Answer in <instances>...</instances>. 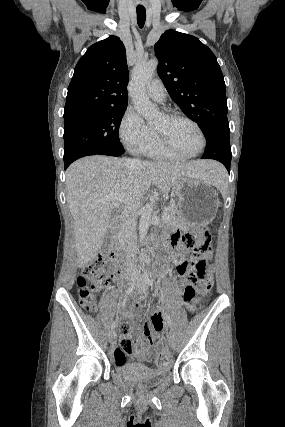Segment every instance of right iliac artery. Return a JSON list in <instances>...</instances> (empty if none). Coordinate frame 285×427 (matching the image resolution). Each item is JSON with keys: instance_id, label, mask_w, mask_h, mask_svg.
<instances>
[{"instance_id": "1", "label": "right iliac artery", "mask_w": 285, "mask_h": 427, "mask_svg": "<svg viewBox=\"0 0 285 427\" xmlns=\"http://www.w3.org/2000/svg\"><path fill=\"white\" fill-rule=\"evenodd\" d=\"M135 289V284H132L126 291L125 297L127 298L128 296H130L132 294V292ZM116 326V322H113L111 325V330H114Z\"/></svg>"}]
</instances>
